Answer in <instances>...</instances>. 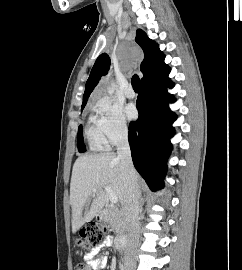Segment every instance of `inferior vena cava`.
I'll use <instances>...</instances> for the list:
<instances>
[{"instance_id":"inferior-vena-cava-1","label":"inferior vena cava","mask_w":242,"mask_h":270,"mask_svg":"<svg viewBox=\"0 0 242 270\" xmlns=\"http://www.w3.org/2000/svg\"><path fill=\"white\" fill-rule=\"evenodd\" d=\"M117 155L121 161L123 178L126 184L124 201V220L128 232V244L125 251V266L129 268L135 264V249L139 242V186L136 180V170L132 163L131 151L128 142V132L121 134L117 144Z\"/></svg>"}]
</instances>
